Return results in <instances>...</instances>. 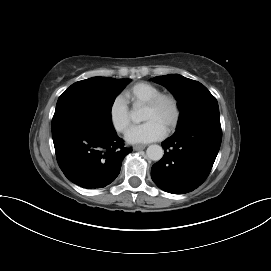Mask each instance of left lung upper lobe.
Returning a JSON list of instances; mask_svg holds the SVG:
<instances>
[{"mask_svg": "<svg viewBox=\"0 0 271 271\" xmlns=\"http://www.w3.org/2000/svg\"><path fill=\"white\" fill-rule=\"evenodd\" d=\"M152 80L175 95L180 110L177 128L197 120L219 119L217 100L201 83L179 74L157 76Z\"/></svg>", "mask_w": 271, "mask_h": 271, "instance_id": "5c2ea615", "label": "left lung upper lobe"}]
</instances>
